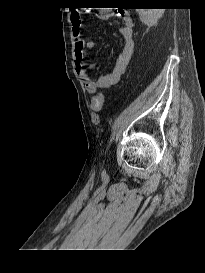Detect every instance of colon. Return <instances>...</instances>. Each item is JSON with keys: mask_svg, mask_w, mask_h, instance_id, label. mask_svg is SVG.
Here are the masks:
<instances>
[{"mask_svg": "<svg viewBox=\"0 0 205 273\" xmlns=\"http://www.w3.org/2000/svg\"><path fill=\"white\" fill-rule=\"evenodd\" d=\"M103 102H104V96L102 94L95 95L92 100V108L95 111L101 110V108L103 106Z\"/></svg>", "mask_w": 205, "mask_h": 273, "instance_id": "obj_1", "label": "colon"}]
</instances>
